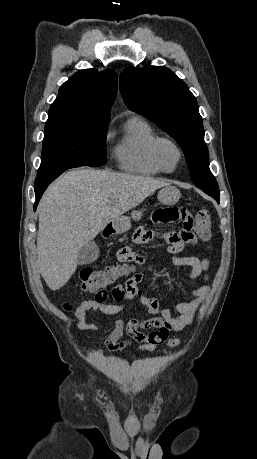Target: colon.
<instances>
[{"instance_id": "5ec220e1", "label": "colon", "mask_w": 257, "mask_h": 459, "mask_svg": "<svg viewBox=\"0 0 257 459\" xmlns=\"http://www.w3.org/2000/svg\"><path fill=\"white\" fill-rule=\"evenodd\" d=\"M193 221L195 224L194 227L197 231L195 239L196 243L197 239L202 241L208 240L211 231V214L209 209L201 208L198 210ZM139 265L141 264H119L116 266H109L104 269L84 267L80 272L82 288L89 292L96 293L95 298L98 301H105L108 298L106 286L119 277L133 272ZM66 308L69 309L70 306L67 305ZM179 344L180 341L178 339H172L168 342V346L171 348L178 347Z\"/></svg>"}]
</instances>
